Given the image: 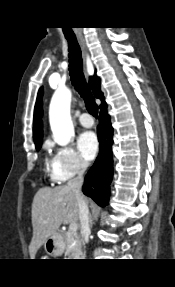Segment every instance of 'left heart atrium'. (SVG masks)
I'll use <instances>...</instances> for the list:
<instances>
[{
  "mask_svg": "<svg viewBox=\"0 0 175 287\" xmlns=\"http://www.w3.org/2000/svg\"><path fill=\"white\" fill-rule=\"evenodd\" d=\"M78 149L81 155L87 159L92 160L98 151V140L94 132H83L77 141Z\"/></svg>",
  "mask_w": 175,
  "mask_h": 287,
  "instance_id": "left-heart-atrium-1",
  "label": "left heart atrium"
}]
</instances>
